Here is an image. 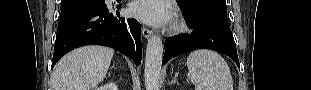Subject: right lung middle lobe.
<instances>
[{
	"label": "right lung middle lobe",
	"instance_id": "right-lung-middle-lobe-1",
	"mask_svg": "<svg viewBox=\"0 0 311 90\" xmlns=\"http://www.w3.org/2000/svg\"><path fill=\"white\" fill-rule=\"evenodd\" d=\"M61 2L62 8L60 18L80 10L106 7L104 0H62Z\"/></svg>",
	"mask_w": 311,
	"mask_h": 90
}]
</instances>
